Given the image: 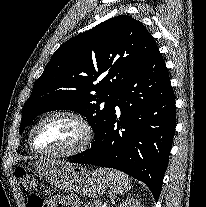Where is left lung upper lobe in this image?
I'll return each mask as SVG.
<instances>
[{
    "label": "left lung upper lobe",
    "mask_w": 206,
    "mask_h": 207,
    "mask_svg": "<svg viewBox=\"0 0 206 207\" xmlns=\"http://www.w3.org/2000/svg\"><path fill=\"white\" fill-rule=\"evenodd\" d=\"M156 48L142 22L128 15L106 20L68 40L35 82L23 106L20 133L36 116L68 109L89 120L97 139L117 92Z\"/></svg>",
    "instance_id": "1"
}]
</instances>
